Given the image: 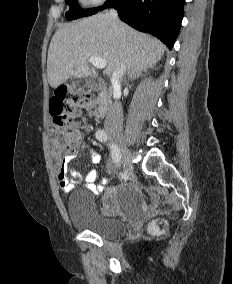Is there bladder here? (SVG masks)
I'll return each mask as SVG.
<instances>
[{
    "instance_id": "obj_1",
    "label": "bladder",
    "mask_w": 233,
    "mask_h": 284,
    "mask_svg": "<svg viewBox=\"0 0 233 284\" xmlns=\"http://www.w3.org/2000/svg\"><path fill=\"white\" fill-rule=\"evenodd\" d=\"M112 194L118 202L125 205L137 204L140 201L138 191L131 185L118 187ZM104 201L112 204L108 195ZM67 209L74 227L90 231L102 238L114 239L127 230V224L123 220L102 215L94 197L88 191H74L68 199Z\"/></svg>"
}]
</instances>
